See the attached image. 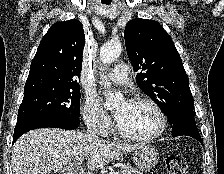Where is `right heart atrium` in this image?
<instances>
[{
  "label": "right heart atrium",
  "mask_w": 224,
  "mask_h": 174,
  "mask_svg": "<svg viewBox=\"0 0 224 174\" xmlns=\"http://www.w3.org/2000/svg\"><path fill=\"white\" fill-rule=\"evenodd\" d=\"M83 118L86 125L98 134L107 135L112 129V122L109 116L94 96L86 98L83 106Z\"/></svg>",
  "instance_id": "obj_1"
}]
</instances>
